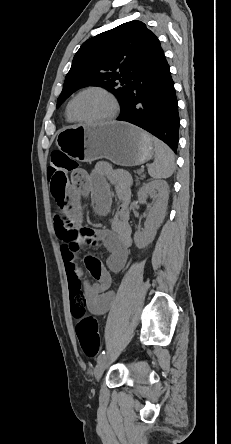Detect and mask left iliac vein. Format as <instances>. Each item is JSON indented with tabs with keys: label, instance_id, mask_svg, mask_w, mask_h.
Segmentation results:
<instances>
[{
	"label": "left iliac vein",
	"instance_id": "1",
	"mask_svg": "<svg viewBox=\"0 0 231 444\" xmlns=\"http://www.w3.org/2000/svg\"><path fill=\"white\" fill-rule=\"evenodd\" d=\"M107 363H108V358L106 356H104L101 359V361L98 362V364H97V366L95 368V372H94L96 380H100L101 379V377H102V375H103V373L105 371V368L107 366Z\"/></svg>",
	"mask_w": 231,
	"mask_h": 444
}]
</instances>
